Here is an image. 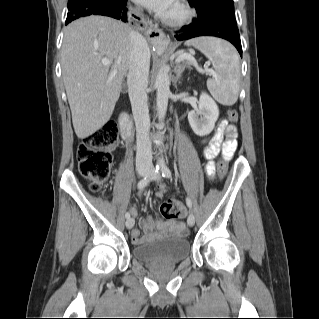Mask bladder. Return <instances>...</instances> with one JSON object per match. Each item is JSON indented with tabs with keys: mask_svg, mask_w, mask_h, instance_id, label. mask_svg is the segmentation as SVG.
<instances>
[{
	"mask_svg": "<svg viewBox=\"0 0 319 319\" xmlns=\"http://www.w3.org/2000/svg\"><path fill=\"white\" fill-rule=\"evenodd\" d=\"M190 243L178 236H167L158 240H151L137 245L134 255L143 262L167 260L179 262L189 255Z\"/></svg>",
	"mask_w": 319,
	"mask_h": 319,
	"instance_id": "1",
	"label": "bladder"
}]
</instances>
